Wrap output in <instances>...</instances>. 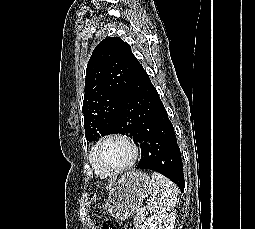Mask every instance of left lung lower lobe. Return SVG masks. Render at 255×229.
<instances>
[{
	"label": "left lung lower lobe",
	"instance_id": "0a47b994",
	"mask_svg": "<svg viewBox=\"0 0 255 229\" xmlns=\"http://www.w3.org/2000/svg\"><path fill=\"white\" fill-rule=\"evenodd\" d=\"M141 148L137 169H150L184 190L183 164L173 125L159 95L139 64L118 118Z\"/></svg>",
	"mask_w": 255,
	"mask_h": 229
}]
</instances>
